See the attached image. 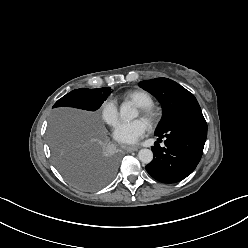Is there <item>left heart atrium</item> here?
Returning a JSON list of instances; mask_svg holds the SVG:
<instances>
[{
  "label": "left heart atrium",
  "instance_id": "obj_1",
  "mask_svg": "<svg viewBox=\"0 0 248 248\" xmlns=\"http://www.w3.org/2000/svg\"><path fill=\"white\" fill-rule=\"evenodd\" d=\"M147 123L142 119L120 122L114 129V138L123 144H136L147 132Z\"/></svg>",
  "mask_w": 248,
  "mask_h": 248
}]
</instances>
